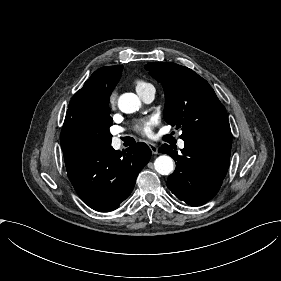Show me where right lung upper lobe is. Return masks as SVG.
Listing matches in <instances>:
<instances>
[{
	"mask_svg": "<svg viewBox=\"0 0 281 281\" xmlns=\"http://www.w3.org/2000/svg\"><path fill=\"white\" fill-rule=\"evenodd\" d=\"M122 69V65H117L96 70L85 82L83 88L73 96L66 118L77 117L86 109L99 114L107 108L109 97L121 77Z\"/></svg>",
	"mask_w": 281,
	"mask_h": 281,
	"instance_id": "1",
	"label": "right lung upper lobe"
}]
</instances>
